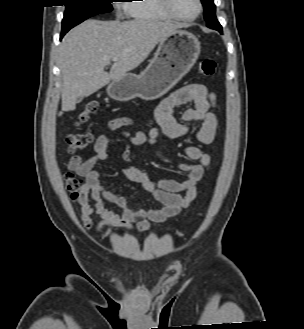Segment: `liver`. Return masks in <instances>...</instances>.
I'll use <instances>...</instances> for the list:
<instances>
[{"label": "liver", "instance_id": "6515ba94", "mask_svg": "<svg viewBox=\"0 0 304 329\" xmlns=\"http://www.w3.org/2000/svg\"><path fill=\"white\" fill-rule=\"evenodd\" d=\"M180 25L157 20H87L70 30L60 45L63 78L62 112L73 111L77 98L90 96L110 81H119L138 67L164 38ZM118 60L110 72L104 68Z\"/></svg>", "mask_w": 304, "mask_h": 329}]
</instances>
